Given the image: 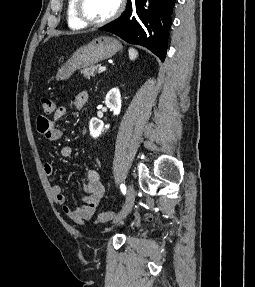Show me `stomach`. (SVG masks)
<instances>
[{"instance_id":"obj_1","label":"stomach","mask_w":255,"mask_h":287,"mask_svg":"<svg viewBox=\"0 0 255 287\" xmlns=\"http://www.w3.org/2000/svg\"><path fill=\"white\" fill-rule=\"evenodd\" d=\"M122 50V46L116 38H108V36H101V38H94L89 44L78 48L72 58L68 60L65 68L59 72L57 78L60 80H68L76 70L80 68H89L98 62L112 58L116 52Z\"/></svg>"}]
</instances>
